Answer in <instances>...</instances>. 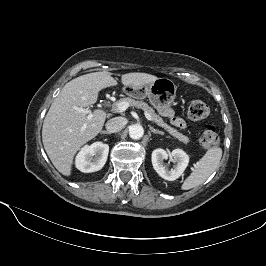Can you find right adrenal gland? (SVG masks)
Returning <instances> with one entry per match:
<instances>
[{"mask_svg":"<svg viewBox=\"0 0 266 266\" xmlns=\"http://www.w3.org/2000/svg\"><path fill=\"white\" fill-rule=\"evenodd\" d=\"M100 133H101V134H108V135H110V134H111L110 132H108V131H105V130L101 131Z\"/></svg>","mask_w":266,"mask_h":266,"instance_id":"2a0ac1e0","label":"right adrenal gland"}]
</instances>
